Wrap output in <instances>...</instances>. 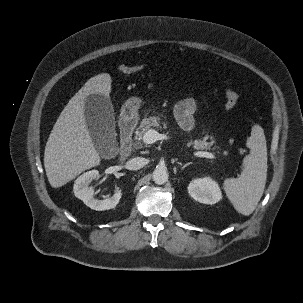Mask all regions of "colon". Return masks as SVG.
Returning <instances> with one entry per match:
<instances>
[{
    "instance_id": "obj_1",
    "label": "colon",
    "mask_w": 303,
    "mask_h": 303,
    "mask_svg": "<svg viewBox=\"0 0 303 303\" xmlns=\"http://www.w3.org/2000/svg\"><path fill=\"white\" fill-rule=\"evenodd\" d=\"M143 68L142 65H134V66H127V65H122L118 68V72L120 74H131L135 73ZM225 97V107L228 110H233L236 108L238 104V95L234 91L233 88H227L224 93Z\"/></svg>"
}]
</instances>
